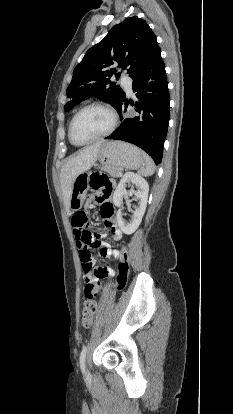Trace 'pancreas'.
<instances>
[{
    "label": "pancreas",
    "mask_w": 233,
    "mask_h": 414,
    "mask_svg": "<svg viewBox=\"0 0 233 414\" xmlns=\"http://www.w3.org/2000/svg\"><path fill=\"white\" fill-rule=\"evenodd\" d=\"M106 171L113 177H121L122 173L120 169H106Z\"/></svg>",
    "instance_id": "1"
}]
</instances>
